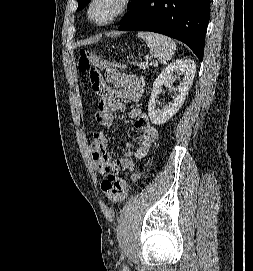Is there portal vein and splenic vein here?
Instances as JSON below:
<instances>
[{
  "label": "portal vein and splenic vein",
  "mask_w": 253,
  "mask_h": 271,
  "mask_svg": "<svg viewBox=\"0 0 253 271\" xmlns=\"http://www.w3.org/2000/svg\"><path fill=\"white\" fill-rule=\"evenodd\" d=\"M147 67H148V64H145V63H140L139 64L140 69H146Z\"/></svg>",
  "instance_id": "obj_1"
}]
</instances>
